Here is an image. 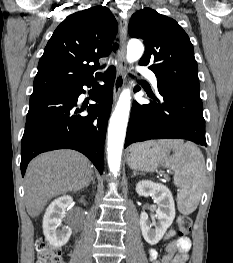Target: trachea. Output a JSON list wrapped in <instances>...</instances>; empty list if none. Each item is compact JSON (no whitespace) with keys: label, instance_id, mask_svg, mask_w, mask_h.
Masks as SVG:
<instances>
[{"label":"trachea","instance_id":"1","mask_svg":"<svg viewBox=\"0 0 233 263\" xmlns=\"http://www.w3.org/2000/svg\"><path fill=\"white\" fill-rule=\"evenodd\" d=\"M117 49H118V44L115 43V44H114V52H116Z\"/></svg>","mask_w":233,"mask_h":263}]
</instances>
